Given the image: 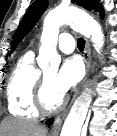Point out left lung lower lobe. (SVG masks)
Wrapping results in <instances>:
<instances>
[{
    "mask_svg": "<svg viewBox=\"0 0 117 136\" xmlns=\"http://www.w3.org/2000/svg\"><path fill=\"white\" fill-rule=\"evenodd\" d=\"M52 120H50V121H47L46 123L48 124V125H51L52 124Z\"/></svg>",
    "mask_w": 117,
    "mask_h": 136,
    "instance_id": "left-lung-lower-lobe-1",
    "label": "left lung lower lobe"
}]
</instances>
